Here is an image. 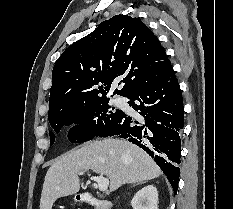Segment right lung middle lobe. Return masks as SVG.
Returning a JSON list of instances; mask_svg holds the SVG:
<instances>
[{"label":"right lung middle lobe","mask_w":233,"mask_h":209,"mask_svg":"<svg viewBox=\"0 0 233 209\" xmlns=\"http://www.w3.org/2000/svg\"><path fill=\"white\" fill-rule=\"evenodd\" d=\"M123 111L115 110L109 105V99L64 106L48 114L51 127L58 133L63 126L77 124L70 129L68 139L72 143L91 140L94 136L107 130L122 115ZM50 145L55 141L53 132H49Z\"/></svg>","instance_id":"dd1d6c3e"}]
</instances>
